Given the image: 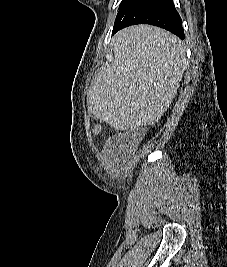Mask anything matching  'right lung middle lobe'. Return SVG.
I'll return each mask as SVG.
<instances>
[{"label": "right lung middle lobe", "mask_w": 227, "mask_h": 267, "mask_svg": "<svg viewBox=\"0 0 227 267\" xmlns=\"http://www.w3.org/2000/svg\"><path fill=\"white\" fill-rule=\"evenodd\" d=\"M127 0H122L121 4H120V8L123 6V4L126 2Z\"/></svg>", "instance_id": "obj_1"}]
</instances>
